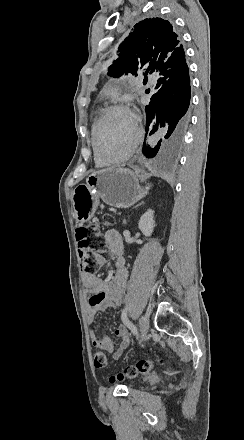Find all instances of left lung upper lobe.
<instances>
[{"label": "left lung upper lobe", "mask_w": 244, "mask_h": 440, "mask_svg": "<svg viewBox=\"0 0 244 440\" xmlns=\"http://www.w3.org/2000/svg\"><path fill=\"white\" fill-rule=\"evenodd\" d=\"M118 51L119 58L109 67L108 75L113 77L136 74L139 68L151 74L185 57L173 25L162 18H148L137 23Z\"/></svg>", "instance_id": "left-lung-upper-lobe-1"}]
</instances>
